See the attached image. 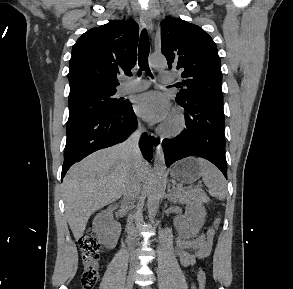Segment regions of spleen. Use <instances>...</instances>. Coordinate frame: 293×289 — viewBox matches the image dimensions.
Masks as SVG:
<instances>
[{"label": "spleen", "mask_w": 293, "mask_h": 289, "mask_svg": "<svg viewBox=\"0 0 293 289\" xmlns=\"http://www.w3.org/2000/svg\"><path fill=\"white\" fill-rule=\"evenodd\" d=\"M197 161L202 170V180L208 187L209 194L220 200L225 199L227 194V184L222 173L207 160L198 158Z\"/></svg>", "instance_id": "spleen-1"}]
</instances>
